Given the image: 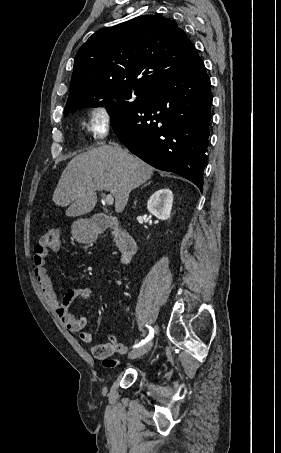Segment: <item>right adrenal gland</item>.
Listing matches in <instances>:
<instances>
[{"instance_id": "obj_1", "label": "right adrenal gland", "mask_w": 281, "mask_h": 453, "mask_svg": "<svg viewBox=\"0 0 281 453\" xmlns=\"http://www.w3.org/2000/svg\"><path fill=\"white\" fill-rule=\"evenodd\" d=\"M147 184H151V180L150 182H147ZM147 184H143V186H147ZM143 186H141V188H143Z\"/></svg>"}]
</instances>
